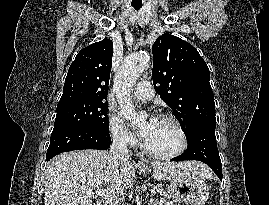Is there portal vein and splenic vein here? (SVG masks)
<instances>
[{
	"label": "portal vein and splenic vein",
	"instance_id": "1",
	"mask_svg": "<svg viewBox=\"0 0 269 205\" xmlns=\"http://www.w3.org/2000/svg\"><path fill=\"white\" fill-rule=\"evenodd\" d=\"M96 195L101 196V197H109L110 196L108 190L105 188L104 189H97Z\"/></svg>",
	"mask_w": 269,
	"mask_h": 205
}]
</instances>
